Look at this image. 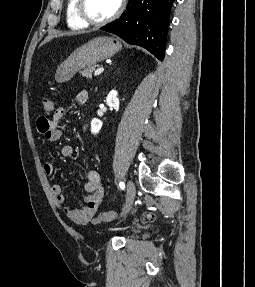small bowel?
I'll return each instance as SVG.
<instances>
[{
	"label": "small bowel",
	"mask_w": 255,
	"mask_h": 287,
	"mask_svg": "<svg viewBox=\"0 0 255 287\" xmlns=\"http://www.w3.org/2000/svg\"><path fill=\"white\" fill-rule=\"evenodd\" d=\"M88 99L86 92H80L76 96V104L82 105ZM67 114L65 107H59L53 114L52 119H47L43 116L37 119V130L41 133L44 138L51 143H55L62 138V131L60 129V123ZM74 149L71 145H64L60 154L62 157H71ZM44 171L47 175H52L55 172L54 163L48 161L44 164ZM84 189L87 195L84 197V204L80 208L71 209L65 206L66 198L62 192L60 185L55 184L51 188V193L57 207L74 223L76 224H87L100 223L101 220L97 216L99 207L104 198V187L102 185L101 176L98 171L90 169L87 171V181L84 185ZM157 215L153 212L144 213L141 217L142 222L148 223L156 220Z\"/></svg>",
	"instance_id": "small-bowel-1"
}]
</instances>
